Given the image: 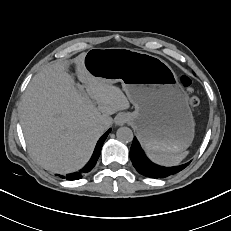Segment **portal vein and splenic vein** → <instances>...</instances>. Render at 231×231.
Returning <instances> with one entry per match:
<instances>
[{
    "instance_id": "18ae733b",
    "label": "portal vein and splenic vein",
    "mask_w": 231,
    "mask_h": 231,
    "mask_svg": "<svg viewBox=\"0 0 231 231\" xmlns=\"http://www.w3.org/2000/svg\"><path fill=\"white\" fill-rule=\"evenodd\" d=\"M79 91L85 98H87V93L84 91L82 86H79Z\"/></svg>"
}]
</instances>
